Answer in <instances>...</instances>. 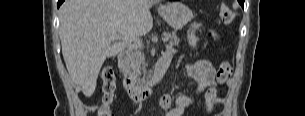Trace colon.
I'll use <instances>...</instances> for the list:
<instances>
[{
  "instance_id": "obj_1",
  "label": "colon",
  "mask_w": 305,
  "mask_h": 116,
  "mask_svg": "<svg viewBox=\"0 0 305 116\" xmlns=\"http://www.w3.org/2000/svg\"><path fill=\"white\" fill-rule=\"evenodd\" d=\"M219 15L226 24L231 23L235 18V13L226 4H221ZM232 75V66L228 62H222L217 70V80L219 83H226ZM102 79V97L98 116H114L111 105L115 100L116 75L110 66H105L101 72Z\"/></svg>"
}]
</instances>
